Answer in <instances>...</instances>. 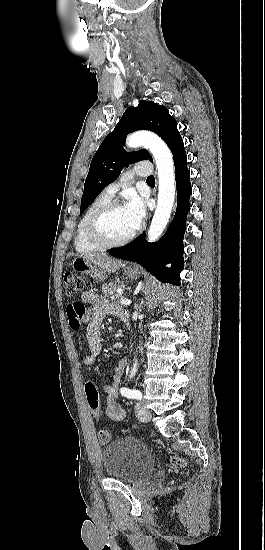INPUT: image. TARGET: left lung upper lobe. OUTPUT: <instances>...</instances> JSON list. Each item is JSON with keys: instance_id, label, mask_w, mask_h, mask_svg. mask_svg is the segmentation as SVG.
Returning <instances> with one entry per match:
<instances>
[{"instance_id": "5c2ea615", "label": "left lung upper lobe", "mask_w": 265, "mask_h": 550, "mask_svg": "<svg viewBox=\"0 0 265 550\" xmlns=\"http://www.w3.org/2000/svg\"><path fill=\"white\" fill-rule=\"evenodd\" d=\"M141 129L151 130L159 135L171 152L183 142L177 130V121L170 116L166 107L146 100H141L137 107H129L115 129L103 140L91 161L81 199L80 214L108 184L118 178L122 169L129 163L146 159L153 161L145 149L132 153H127L123 149L127 134Z\"/></svg>"}]
</instances>
